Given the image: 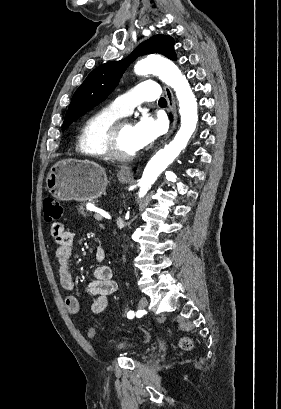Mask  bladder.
<instances>
[{"instance_id":"31cf9c89","label":"bladder","mask_w":281,"mask_h":409,"mask_svg":"<svg viewBox=\"0 0 281 409\" xmlns=\"http://www.w3.org/2000/svg\"><path fill=\"white\" fill-rule=\"evenodd\" d=\"M110 351L113 354L124 353L130 357H136V355L145 354V347L141 342L133 341L127 337H118L112 341Z\"/></svg>"}]
</instances>
